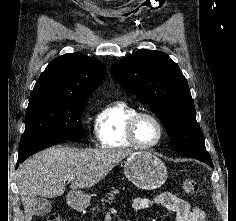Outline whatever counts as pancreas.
Returning <instances> with one entry per match:
<instances>
[{"label":"pancreas","instance_id":"obj_1","mask_svg":"<svg viewBox=\"0 0 236 221\" xmlns=\"http://www.w3.org/2000/svg\"><path fill=\"white\" fill-rule=\"evenodd\" d=\"M118 190L111 191L107 193L102 199H101V204H97L92 208V212L94 216H97L99 212H102L107 204H110L112 200H114L115 195L118 194ZM102 208V209H101Z\"/></svg>","mask_w":236,"mask_h":221}]
</instances>
